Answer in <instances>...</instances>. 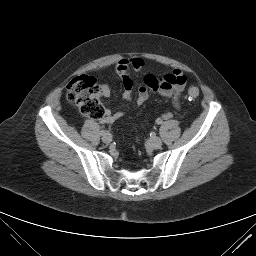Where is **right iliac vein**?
Returning a JSON list of instances; mask_svg holds the SVG:
<instances>
[{
  "mask_svg": "<svg viewBox=\"0 0 256 256\" xmlns=\"http://www.w3.org/2000/svg\"><path fill=\"white\" fill-rule=\"evenodd\" d=\"M102 141L106 144H109L112 141V136L109 133H106L105 135H103L102 137Z\"/></svg>",
  "mask_w": 256,
  "mask_h": 256,
  "instance_id": "63e3f726",
  "label": "right iliac vein"
}]
</instances>
